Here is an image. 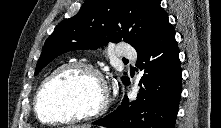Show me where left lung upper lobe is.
<instances>
[{
    "mask_svg": "<svg viewBox=\"0 0 221 128\" xmlns=\"http://www.w3.org/2000/svg\"><path fill=\"white\" fill-rule=\"evenodd\" d=\"M160 0H85L78 14L60 22L46 40L37 75L57 56L121 40L139 47L167 13ZM128 77L122 78L125 84Z\"/></svg>",
    "mask_w": 221,
    "mask_h": 128,
    "instance_id": "left-lung-upper-lobe-1",
    "label": "left lung upper lobe"
}]
</instances>
